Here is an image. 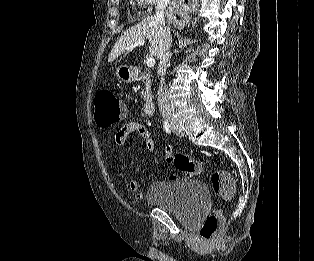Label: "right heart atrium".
<instances>
[{"instance_id":"right-heart-atrium-1","label":"right heart atrium","mask_w":314,"mask_h":261,"mask_svg":"<svg viewBox=\"0 0 314 261\" xmlns=\"http://www.w3.org/2000/svg\"><path fill=\"white\" fill-rule=\"evenodd\" d=\"M163 0H136L139 7L145 11H149L153 6L158 4Z\"/></svg>"}]
</instances>
